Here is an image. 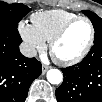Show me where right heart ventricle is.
Returning <instances> with one entry per match:
<instances>
[{
    "label": "right heart ventricle",
    "mask_w": 102,
    "mask_h": 102,
    "mask_svg": "<svg viewBox=\"0 0 102 102\" xmlns=\"http://www.w3.org/2000/svg\"><path fill=\"white\" fill-rule=\"evenodd\" d=\"M77 17L73 13L60 9L39 11L31 16V24L46 42H50L62 27Z\"/></svg>",
    "instance_id": "right-heart-ventricle-1"
}]
</instances>
